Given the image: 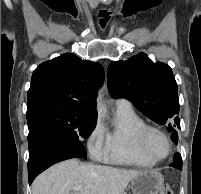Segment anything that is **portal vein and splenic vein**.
Instances as JSON below:
<instances>
[{
  "instance_id": "portal-vein-and-splenic-vein-1",
  "label": "portal vein and splenic vein",
  "mask_w": 201,
  "mask_h": 194,
  "mask_svg": "<svg viewBox=\"0 0 201 194\" xmlns=\"http://www.w3.org/2000/svg\"><path fill=\"white\" fill-rule=\"evenodd\" d=\"M82 189H83L82 186H75L72 190H73L74 192H79V191H81Z\"/></svg>"
}]
</instances>
